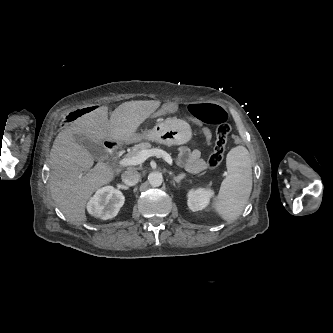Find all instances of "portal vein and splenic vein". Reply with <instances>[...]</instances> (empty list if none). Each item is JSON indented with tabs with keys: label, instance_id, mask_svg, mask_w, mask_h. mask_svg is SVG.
Returning a JSON list of instances; mask_svg holds the SVG:
<instances>
[{
	"label": "portal vein and splenic vein",
	"instance_id": "obj_1",
	"mask_svg": "<svg viewBox=\"0 0 333 333\" xmlns=\"http://www.w3.org/2000/svg\"><path fill=\"white\" fill-rule=\"evenodd\" d=\"M151 156L162 157L168 164L172 165V158L171 156L158 148L142 150L136 156L133 157H126L119 161L120 166H136L142 164L147 158Z\"/></svg>",
	"mask_w": 333,
	"mask_h": 333
}]
</instances>
